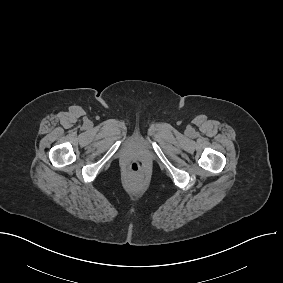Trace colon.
<instances>
[{"label": "colon", "instance_id": "5ec220e1", "mask_svg": "<svg viewBox=\"0 0 283 283\" xmlns=\"http://www.w3.org/2000/svg\"><path fill=\"white\" fill-rule=\"evenodd\" d=\"M130 171H131L132 174H135V175L141 174V172H142L141 164L139 162H133L130 165Z\"/></svg>", "mask_w": 283, "mask_h": 283}]
</instances>
